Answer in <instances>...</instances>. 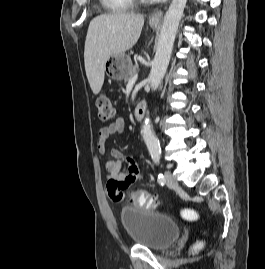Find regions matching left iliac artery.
Returning <instances> with one entry per match:
<instances>
[{
  "instance_id": "left-iliac-artery-1",
  "label": "left iliac artery",
  "mask_w": 265,
  "mask_h": 269,
  "mask_svg": "<svg viewBox=\"0 0 265 269\" xmlns=\"http://www.w3.org/2000/svg\"><path fill=\"white\" fill-rule=\"evenodd\" d=\"M153 160L158 165L159 162H160V157L159 156H154L153 157ZM157 181H158L159 184L164 185V183H165V177H164V175L163 174H159Z\"/></svg>"
}]
</instances>
